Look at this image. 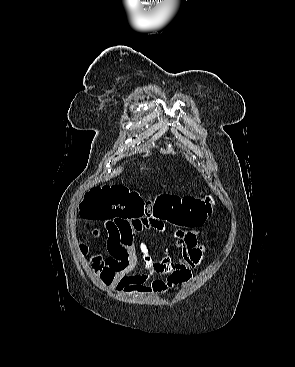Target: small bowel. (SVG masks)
<instances>
[{
	"label": "small bowel",
	"instance_id": "1",
	"mask_svg": "<svg viewBox=\"0 0 295 367\" xmlns=\"http://www.w3.org/2000/svg\"><path fill=\"white\" fill-rule=\"evenodd\" d=\"M147 228L163 232L166 230L165 220L143 218L105 222L109 256L99 269V277L112 291L124 294H166L170 289L191 280L193 269L203 262L207 248L199 241L197 230L176 224L173 235L180 257L173 260L169 255L155 259L146 246L137 240V234ZM137 249L141 251L145 271L132 274L138 263ZM154 274H167V278L152 279Z\"/></svg>",
	"mask_w": 295,
	"mask_h": 367
}]
</instances>
